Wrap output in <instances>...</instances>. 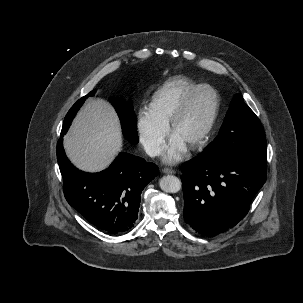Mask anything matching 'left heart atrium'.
<instances>
[{
    "label": "left heart atrium",
    "mask_w": 303,
    "mask_h": 303,
    "mask_svg": "<svg viewBox=\"0 0 303 303\" xmlns=\"http://www.w3.org/2000/svg\"><path fill=\"white\" fill-rule=\"evenodd\" d=\"M187 150V144L176 135H172L166 147L164 161L173 164L180 161Z\"/></svg>",
    "instance_id": "1"
}]
</instances>
